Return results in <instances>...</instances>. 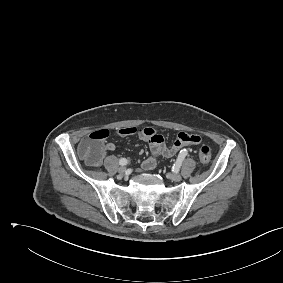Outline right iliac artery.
I'll return each instance as SVG.
<instances>
[{
  "label": "right iliac artery",
  "instance_id": "82829eb1",
  "mask_svg": "<svg viewBox=\"0 0 283 283\" xmlns=\"http://www.w3.org/2000/svg\"><path fill=\"white\" fill-rule=\"evenodd\" d=\"M128 163V160L126 159V158H121L120 160H119V164L121 165V166H124V165H126Z\"/></svg>",
  "mask_w": 283,
  "mask_h": 283
}]
</instances>
